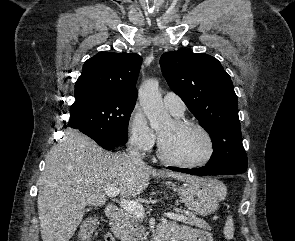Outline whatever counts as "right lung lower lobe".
I'll use <instances>...</instances> for the list:
<instances>
[{"mask_svg": "<svg viewBox=\"0 0 295 241\" xmlns=\"http://www.w3.org/2000/svg\"><path fill=\"white\" fill-rule=\"evenodd\" d=\"M100 146L107 149V150H112V149L116 148V146H107V145H100Z\"/></svg>", "mask_w": 295, "mask_h": 241, "instance_id": "98d812e1", "label": "right lung lower lobe"}]
</instances>
